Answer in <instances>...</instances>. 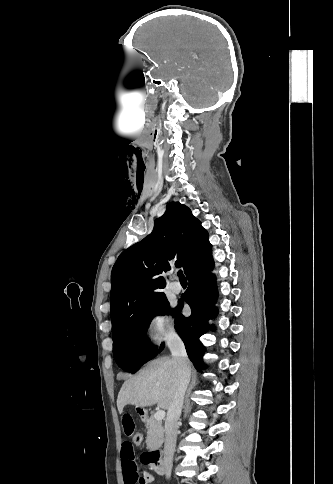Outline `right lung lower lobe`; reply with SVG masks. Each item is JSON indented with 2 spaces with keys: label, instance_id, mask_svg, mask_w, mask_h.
<instances>
[{
  "label": "right lung lower lobe",
  "instance_id": "98d812e1",
  "mask_svg": "<svg viewBox=\"0 0 333 484\" xmlns=\"http://www.w3.org/2000/svg\"><path fill=\"white\" fill-rule=\"evenodd\" d=\"M213 259L211 254L197 268L187 276L189 287L185 301L190 305L192 314L184 317L181 314L183 302L177 306L175 314V328L182 340L190 360L195 368L201 371L204 368L202 356L205 348L199 337L209 330L208 320L217 315V309L211 304L217 299V290L214 275L211 274ZM213 329V326L211 327ZM164 345L157 351L160 352Z\"/></svg>",
  "mask_w": 333,
  "mask_h": 484
}]
</instances>
